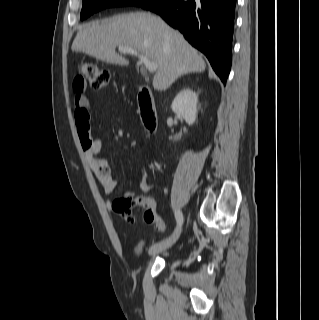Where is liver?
<instances>
[{
    "label": "liver",
    "instance_id": "obj_1",
    "mask_svg": "<svg viewBox=\"0 0 319 320\" xmlns=\"http://www.w3.org/2000/svg\"><path fill=\"white\" fill-rule=\"evenodd\" d=\"M126 46L157 63L153 87L165 91L181 75L200 73L206 68L202 56L160 17L135 12L96 20L80 27L71 46L101 61L126 66L129 61L116 53Z\"/></svg>",
    "mask_w": 319,
    "mask_h": 320
}]
</instances>
